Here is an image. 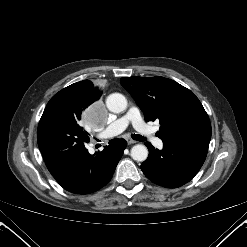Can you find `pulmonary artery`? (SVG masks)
Listing matches in <instances>:
<instances>
[{"mask_svg":"<svg viewBox=\"0 0 247 247\" xmlns=\"http://www.w3.org/2000/svg\"><path fill=\"white\" fill-rule=\"evenodd\" d=\"M129 124H132L139 134L151 141L156 147L161 148L163 146L162 140L155 135V130L144 122L136 106L130 107L123 116L108 125L100 134V137H115L122 133Z\"/></svg>","mask_w":247,"mask_h":247,"instance_id":"obj_1","label":"pulmonary artery"}]
</instances>
